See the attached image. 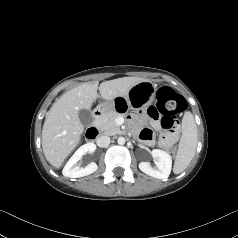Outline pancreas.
<instances>
[{
    "label": "pancreas",
    "mask_w": 238,
    "mask_h": 238,
    "mask_svg": "<svg viewBox=\"0 0 238 238\" xmlns=\"http://www.w3.org/2000/svg\"><path fill=\"white\" fill-rule=\"evenodd\" d=\"M120 114L111 111L105 117L96 121V127L99 131L103 132L106 135H115L120 133V127L116 124V119Z\"/></svg>",
    "instance_id": "pancreas-1"
}]
</instances>
